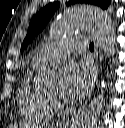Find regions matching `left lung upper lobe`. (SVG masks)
Returning a JSON list of instances; mask_svg holds the SVG:
<instances>
[{
    "mask_svg": "<svg viewBox=\"0 0 125 128\" xmlns=\"http://www.w3.org/2000/svg\"><path fill=\"white\" fill-rule=\"evenodd\" d=\"M111 0H71L66 3L67 6L74 4V3H85V4H92L99 6L103 9H107L108 5L110 4ZM59 8V2H53L46 5L42 8L39 12L34 15L32 20L30 21L29 28L27 35L23 41L21 50L29 44V42L43 30L46 24L49 22L51 17L54 15L56 10Z\"/></svg>",
    "mask_w": 125,
    "mask_h": 128,
    "instance_id": "5c2ea615",
    "label": "left lung upper lobe"
}]
</instances>
